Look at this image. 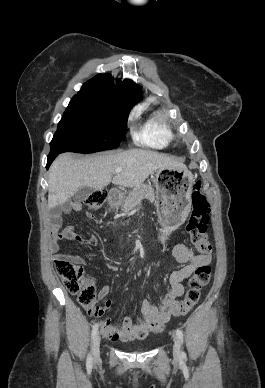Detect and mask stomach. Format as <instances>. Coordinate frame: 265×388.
I'll use <instances>...</instances> for the list:
<instances>
[{
	"mask_svg": "<svg viewBox=\"0 0 265 388\" xmlns=\"http://www.w3.org/2000/svg\"><path fill=\"white\" fill-rule=\"evenodd\" d=\"M193 175L187 168H161L155 173V205L168 231L184 223L191 210Z\"/></svg>",
	"mask_w": 265,
	"mask_h": 388,
	"instance_id": "0dacf381",
	"label": "stomach"
}]
</instances>
